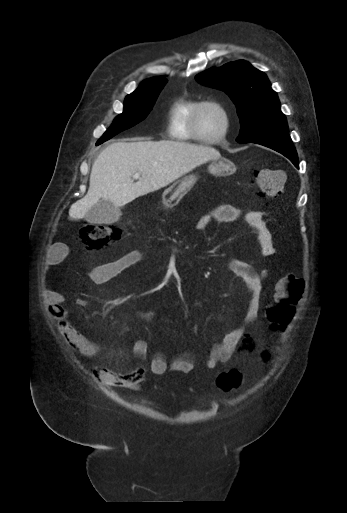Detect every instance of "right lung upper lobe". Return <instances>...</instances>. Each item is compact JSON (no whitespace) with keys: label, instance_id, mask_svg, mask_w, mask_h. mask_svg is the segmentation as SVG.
<instances>
[{"label":"right lung upper lobe","instance_id":"obj_1","mask_svg":"<svg viewBox=\"0 0 347 513\" xmlns=\"http://www.w3.org/2000/svg\"><path fill=\"white\" fill-rule=\"evenodd\" d=\"M159 78H163V77H154V78L148 79V80H146L144 82L152 81V80L159 79Z\"/></svg>","mask_w":347,"mask_h":513}]
</instances>
